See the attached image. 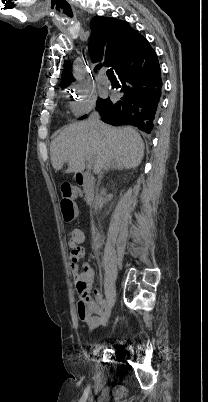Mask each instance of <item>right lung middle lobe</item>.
I'll return each mask as SVG.
<instances>
[{
  "label": "right lung middle lobe",
  "mask_w": 208,
  "mask_h": 402,
  "mask_svg": "<svg viewBox=\"0 0 208 402\" xmlns=\"http://www.w3.org/2000/svg\"><path fill=\"white\" fill-rule=\"evenodd\" d=\"M109 102H110L109 99H105V100H103V99H98V100H97V108L105 107V106L108 105ZM85 117H86V115L83 116V117H81L80 119H83V118H85Z\"/></svg>",
  "instance_id": "1"
}]
</instances>
